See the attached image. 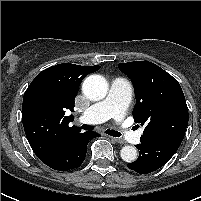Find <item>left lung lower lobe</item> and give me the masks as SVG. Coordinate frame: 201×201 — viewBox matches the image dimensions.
<instances>
[{
	"label": "left lung lower lobe",
	"mask_w": 201,
	"mask_h": 201,
	"mask_svg": "<svg viewBox=\"0 0 201 201\" xmlns=\"http://www.w3.org/2000/svg\"><path fill=\"white\" fill-rule=\"evenodd\" d=\"M182 140L175 138L141 141L136 145L138 159L127 167L140 174H148L165 165L179 148Z\"/></svg>",
	"instance_id": "obj_1"
}]
</instances>
